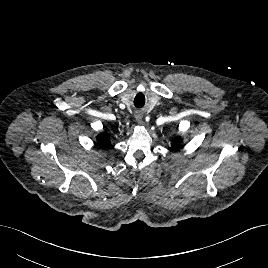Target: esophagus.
<instances>
[{"label":"esophagus","mask_w":268,"mask_h":268,"mask_svg":"<svg viewBox=\"0 0 268 268\" xmlns=\"http://www.w3.org/2000/svg\"><path fill=\"white\" fill-rule=\"evenodd\" d=\"M135 117H136V121H137L138 123L142 124L143 114H142V113H137V114L135 115Z\"/></svg>","instance_id":"esophagus-1"}]
</instances>
